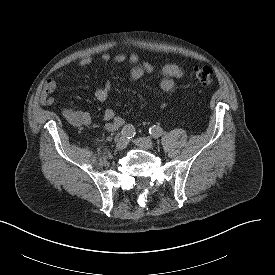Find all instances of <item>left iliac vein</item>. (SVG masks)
I'll return each mask as SVG.
<instances>
[{"label":"left iliac vein","mask_w":275,"mask_h":275,"mask_svg":"<svg viewBox=\"0 0 275 275\" xmlns=\"http://www.w3.org/2000/svg\"><path fill=\"white\" fill-rule=\"evenodd\" d=\"M134 142L138 147L145 149V150H150V149L154 148L153 142L149 138H146V137L136 138L134 140Z\"/></svg>","instance_id":"obj_1"}]
</instances>
